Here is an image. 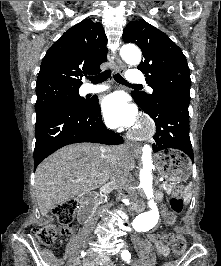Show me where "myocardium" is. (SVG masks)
I'll use <instances>...</instances> for the list:
<instances>
[{
    "label": "myocardium",
    "instance_id": "1",
    "mask_svg": "<svg viewBox=\"0 0 221 266\" xmlns=\"http://www.w3.org/2000/svg\"><path fill=\"white\" fill-rule=\"evenodd\" d=\"M155 133V125L150 120H144L134 131L131 136L137 140L148 139Z\"/></svg>",
    "mask_w": 221,
    "mask_h": 266
}]
</instances>
